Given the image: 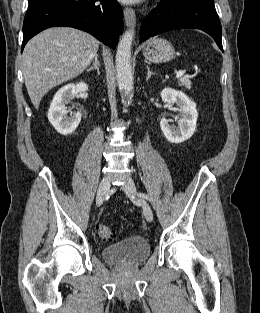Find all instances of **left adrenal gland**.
<instances>
[{
	"label": "left adrenal gland",
	"mask_w": 260,
	"mask_h": 313,
	"mask_svg": "<svg viewBox=\"0 0 260 313\" xmlns=\"http://www.w3.org/2000/svg\"><path fill=\"white\" fill-rule=\"evenodd\" d=\"M148 72H147V77H146V81H148V79L151 77V75H154L155 73H153L150 68L148 66H146Z\"/></svg>",
	"instance_id": "obj_1"
}]
</instances>
